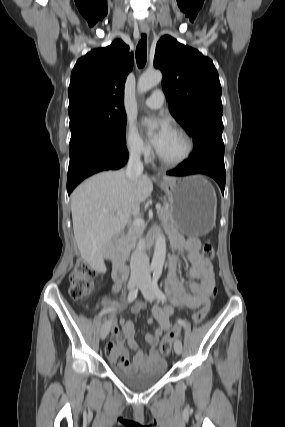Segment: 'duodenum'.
Instances as JSON below:
<instances>
[{"label":"duodenum","instance_id":"1","mask_svg":"<svg viewBox=\"0 0 285 427\" xmlns=\"http://www.w3.org/2000/svg\"><path fill=\"white\" fill-rule=\"evenodd\" d=\"M153 238L154 237L150 236L149 240H152ZM116 241L120 245L122 242V238H118ZM114 263H115V268L113 271L114 278L119 280L125 279L128 273V266L126 263V259L122 253L121 247H119L115 253Z\"/></svg>","mask_w":285,"mask_h":427}]
</instances>
